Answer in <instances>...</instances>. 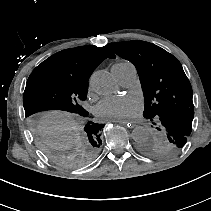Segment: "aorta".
Instances as JSON below:
<instances>
[{
	"label": "aorta",
	"instance_id": "aorta-1",
	"mask_svg": "<svg viewBox=\"0 0 211 211\" xmlns=\"http://www.w3.org/2000/svg\"><path fill=\"white\" fill-rule=\"evenodd\" d=\"M90 83L98 94L106 95L116 90L115 79L105 70L95 71L91 76ZM131 136L135 142L140 143L149 138V132L145 127L137 126L133 129Z\"/></svg>",
	"mask_w": 211,
	"mask_h": 211
}]
</instances>
